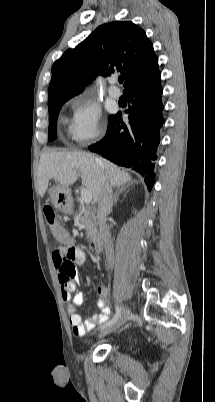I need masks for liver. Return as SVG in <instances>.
Returning a JSON list of instances; mask_svg holds the SVG:
<instances>
[{
    "label": "liver",
    "instance_id": "1",
    "mask_svg": "<svg viewBox=\"0 0 215 402\" xmlns=\"http://www.w3.org/2000/svg\"><path fill=\"white\" fill-rule=\"evenodd\" d=\"M79 173L82 185L90 190L95 202L99 199L103 178L118 188L131 181L127 172L107 159L82 151H47L41 155L38 166L39 195H45L49 180L54 179L60 185L69 187L76 182Z\"/></svg>",
    "mask_w": 215,
    "mask_h": 402
}]
</instances>
